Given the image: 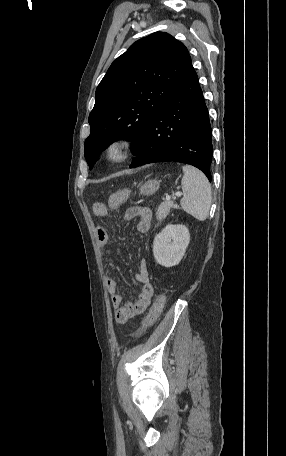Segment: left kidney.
I'll return each mask as SVG.
<instances>
[{"mask_svg":"<svg viewBox=\"0 0 286 456\" xmlns=\"http://www.w3.org/2000/svg\"><path fill=\"white\" fill-rule=\"evenodd\" d=\"M190 233L184 225H167L153 242V255L157 263L164 267L177 265L185 254Z\"/></svg>","mask_w":286,"mask_h":456,"instance_id":"1","label":"left kidney"}]
</instances>
